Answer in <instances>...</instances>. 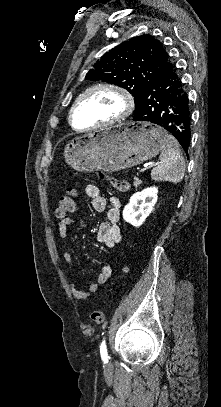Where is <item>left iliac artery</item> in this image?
<instances>
[{
  "instance_id": "44dca946",
  "label": "left iliac artery",
  "mask_w": 221,
  "mask_h": 407,
  "mask_svg": "<svg viewBox=\"0 0 221 407\" xmlns=\"http://www.w3.org/2000/svg\"><path fill=\"white\" fill-rule=\"evenodd\" d=\"M100 354H101L102 360L104 362H108V354H107V348H106L105 340H103L101 345H100Z\"/></svg>"
}]
</instances>
